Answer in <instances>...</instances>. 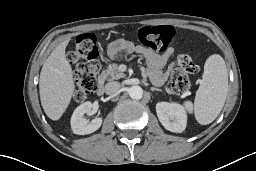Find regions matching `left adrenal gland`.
<instances>
[{
	"mask_svg": "<svg viewBox=\"0 0 256 171\" xmlns=\"http://www.w3.org/2000/svg\"><path fill=\"white\" fill-rule=\"evenodd\" d=\"M151 90L152 91H160V92L162 91L161 89H158V88H155V87H151Z\"/></svg>",
	"mask_w": 256,
	"mask_h": 171,
	"instance_id": "a2214340",
	"label": "left adrenal gland"
}]
</instances>
